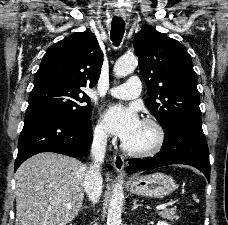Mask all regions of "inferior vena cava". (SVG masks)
<instances>
[{"label": "inferior vena cava", "mask_w": 228, "mask_h": 225, "mask_svg": "<svg viewBox=\"0 0 228 225\" xmlns=\"http://www.w3.org/2000/svg\"><path fill=\"white\" fill-rule=\"evenodd\" d=\"M107 135L104 131H95L93 143L91 145V157L93 163L85 167L86 175L84 179L85 193L90 201L97 203L102 193V163L106 153Z\"/></svg>", "instance_id": "1"}]
</instances>
